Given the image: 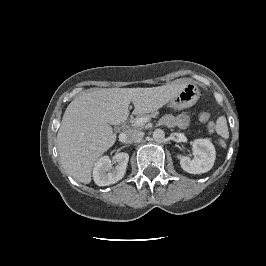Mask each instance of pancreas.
I'll return each mask as SVG.
<instances>
[{
	"label": "pancreas",
	"instance_id": "cf45deb5",
	"mask_svg": "<svg viewBox=\"0 0 266 266\" xmlns=\"http://www.w3.org/2000/svg\"><path fill=\"white\" fill-rule=\"evenodd\" d=\"M158 113L157 112H153L151 114H146V115H139L137 116L135 119H132L131 120V124L134 128H144L145 124H138L136 121L137 119L139 118H144V117H147V118H151V117H155Z\"/></svg>",
	"mask_w": 266,
	"mask_h": 266
}]
</instances>
